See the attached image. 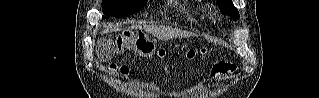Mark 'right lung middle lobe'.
<instances>
[{
    "label": "right lung middle lobe",
    "mask_w": 319,
    "mask_h": 98,
    "mask_svg": "<svg viewBox=\"0 0 319 98\" xmlns=\"http://www.w3.org/2000/svg\"><path fill=\"white\" fill-rule=\"evenodd\" d=\"M147 0H102L103 19L110 16L126 17L143 7Z\"/></svg>",
    "instance_id": "1"
}]
</instances>
